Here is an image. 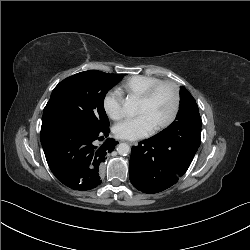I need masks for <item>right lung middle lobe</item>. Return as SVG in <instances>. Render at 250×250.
Masks as SVG:
<instances>
[{
  "label": "right lung middle lobe",
  "mask_w": 250,
  "mask_h": 250,
  "mask_svg": "<svg viewBox=\"0 0 250 250\" xmlns=\"http://www.w3.org/2000/svg\"><path fill=\"white\" fill-rule=\"evenodd\" d=\"M123 74L84 71L61 81L43 110L41 130L70 125L95 131L109 126L104 98Z\"/></svg>",
  "instance_id": "dd1d6c3e"
}]
</instances>
